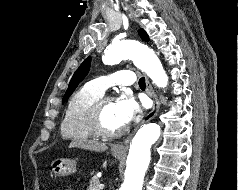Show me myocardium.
Wrapping results in <instances>:
<instances>
[{
	"mask_svg": "<svg viewBox=\"0 0 238 190\" xmlns=\"http://www.w3.org/2000/svg\"><path fill=\"white\" fill-rule=\"evenodd\" d=\"M116 100V97L108 95L102 96L98 100H96L93 105L90 107L87 113V123L92 132L102 138H116L123 135L128 130V125H124L123 127L110 130L108 129L103 121V112L105 105L110 102Z\"/></svg>",
	"mask_w": 238,
	"mask_h": 190,
	"instance_id": "1",
	"label": "myocardium"
}]
</instances>
